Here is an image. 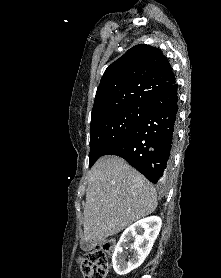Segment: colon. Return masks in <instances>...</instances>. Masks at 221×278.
<instances>
[{"label":"colon","instance_id":"1","mask_svg":"<svg viewBox=\"0 0 221 278\" xmlns=\"http://www.w3.org/2000/svg\"><path fill=\"white\" fill-rule=\"evenodd\" d=\"M116 241L107 239L92 249L79 261L85 278H106L109 268V256L114 252Z\"/></svg>","mask_w":221,"mask_h":278}]
</instances>
